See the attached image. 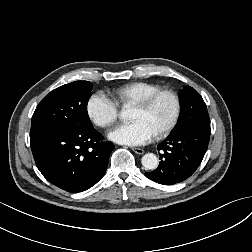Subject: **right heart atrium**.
Returning a JSON list of instances; mask_svg holds the SVG:
<instances>
[{
	"mask_svg": "<svg viewBox=\"0 0 252 252\" xmlns=\"http://www.w3.org/2000/svg\"><path fill=\"white\" fill-rule=\"evenodd\" d=\"M86 113L93 124L101 128H106L117 120L119 107L106 94L96 92L87 100Z\"/></svg>",
	"mask_w": 252,
	"mask_h": 252,
	"instance_id": "obj_1",
	"label": "right heart atrium"
}]
</instances>
